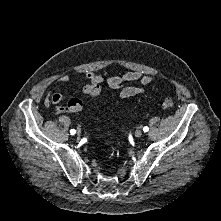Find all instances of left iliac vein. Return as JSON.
Wrapping results in <instances>:
<instances>
[{
  "label": "left iliac vein",
  "instance_id": "obj_1",
  "mask_svg": "<svg viewBox=\"0 0 221 221\" xmlns=\"http://www.w3.org/2000/svg\"><path fill=\"white\" fill-rule=\"evenodd\" d=\"M141 135H142V131L139 130V129H137V130L135 131V136H136V137H140Z\"/></svg>",
  "mask_w": 221,
  "mask_h": 221
}]
</instances>
